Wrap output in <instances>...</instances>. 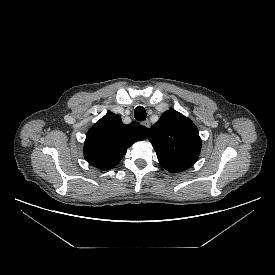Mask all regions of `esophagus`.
I'll list each match as a JSON object with an SVG mask.
<instances>
[{
    "instance_id": "1",
    "label": "esophagus",
    "mask_w": 275,
    "mask_h": 275,
    "mask_svg": "<svg viewBox=\"0 0 275 275\" xmlns=\"http://www.w3.org/2000/svg\"><path fill=\"white\" fill-rule=\"evenodd\" d=\"M142 125L145 126V127H147V128H150V126H151L149 120L143 121Z\"/></svg>"
}]
</instances>
